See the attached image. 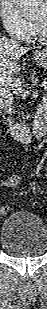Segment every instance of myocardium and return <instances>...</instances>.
<instances>
[{
	"label": "myocardium",
	"mask_w": 47,
	"mask_h": 309,
	"mask_svg": "<svg viewBox=\"0 0 47 309\" xmlns=\"http://www.w3.org/2000/svg\"><path fill=\"white\" fill-rule=\"evenodd\" d=\"M34 26V30L36 32V34L39 36V37H42L43 36V33L45 32V28L42 29L39 25H37L36 23L33 24Z\"/></svg>",
	"instance_id": "myocardium-1"
}]
</instances>
